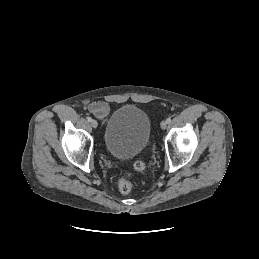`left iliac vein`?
<instances>
[{"label":"left iliac vein","instance_id":"4c4485c4","mask_svg":"<svg viewBox=\"0 0 259 259\" xmlns=\"http://www.w3.org/2000/svg\"><path fill=\"white\" fill-rule=\"evenodd\" d=\"M161 128L164 130L167 128V122L166 121H162L160 124Z\"/></svg>","mask_w":259,"mask_h":259}]
</instances>
